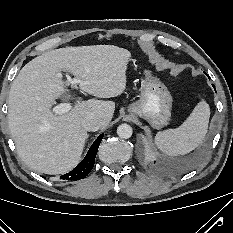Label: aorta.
Returning a JSON list of instances; mask_svg holds the SVG:
<instances>
[{"label":"aorta","mask_w":233,"mask_h":233,"mask_svg":"<svg viewBox=\"0 0 233 233\" xmlns=\"http://www.w3.org/2000/svg\"><path fill=\"white\" fill-rule=\"evenodd\" d=\"M132 127L128 124H121L117 128V135L122 139H128L132 136Z\"/></svg>","instance_id":"obj_1"}]
</instances>
